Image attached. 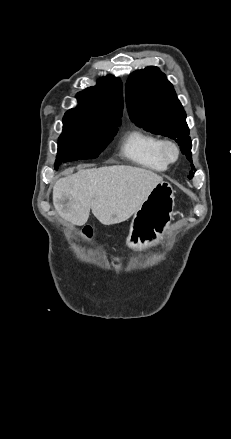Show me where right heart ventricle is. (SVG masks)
Listing matches in <instances>:
<instances>
[{"mask_svg":"<svg viewBox=\"0 0 231 439\" xmlns=\"http://www.w3.org/2000/svg\"><path fill=\"white\" fill-rule=\"evenodd\" d=\"M162 139L140 129L130 130L121 144L122 154L137 165L156 172L167 170L161 155Z\"/></svg>","mask_w":231,"mask_h":439,"instance_id":"obj_1","label":"right heart ventricle"}]
</instances>
